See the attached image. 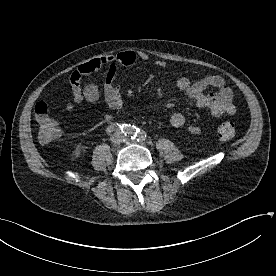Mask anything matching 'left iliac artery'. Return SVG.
<instances>
[{
    "label": "left iliac artery",
    "mask_w": 276,
    "mask_h": 276,
    "mask_svg": "<svg viewBox=\"0 0 276 276\" xmlns=\"http://www.w3.org/2000/svg\"><path fill=\"white\" fill-rule=\"evenodd\" d=\"M146 138V134L144 131L137 129V133H136V139L137 141H143Z\"/></svg>",
    "instance_id": "obj_1"
}]
</instances>
